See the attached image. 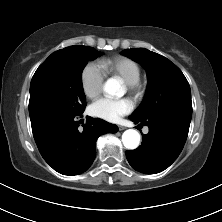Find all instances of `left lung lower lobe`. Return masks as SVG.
<instances>
[{"label":"left lung lower lobe","mask_w":222,"mask_h":222,"mask_svg":"<svg viewBox=\"0 0 222 222\" xmlns=\"http://www.w3.org/2000/svg\"><path fill=\"white\" fill-rule=\"evenodd\" d=\"M129 118L135 124L149 127V133L142 134V145L136 150L126 151L129 164L146 174L159 173L169 167L184 147L191 120L177 112L149 118Z\"/></svg>","instance_id":"obj_1"}]
</instances>
